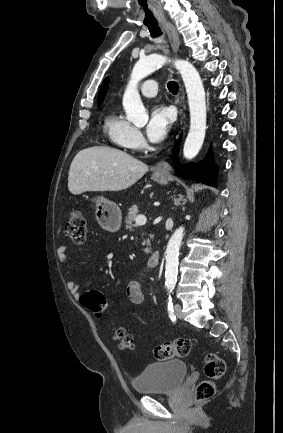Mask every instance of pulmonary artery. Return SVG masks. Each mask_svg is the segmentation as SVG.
Listing matches in <instances>:
<instances>
[{
	"label": "pulmonary artery",
	"instance_id": "obj_1",
	"mask_svg": "<svg viewBox=\"0 0 283 433\" xmlns=\"http://www.w3.org/2000/svg\"><path fill=\"white\" fill-rule=\"evenodd\" d=\"M162 84V81L159 78L148 79L142 83L140 86L141 93L146 97H156L157 88Z\"/></svg>",
	"mask_w": 283,
	"mask_h": 433
}]
</instances>
